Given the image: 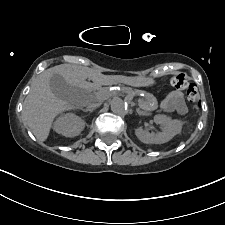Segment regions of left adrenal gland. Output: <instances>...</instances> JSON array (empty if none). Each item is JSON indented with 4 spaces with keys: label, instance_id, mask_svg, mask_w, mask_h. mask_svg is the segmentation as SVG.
Masks as SVG:
<instances>
[{
    "label": "left adrenal gland",
    "instance_id": "1",
    "mask_svg": "<svg viewBox=\"0 0 225 225\" xmlns=\"http://www.w3.org/2000/svg\"><path fill=\"white\" fill-rule=\"evenodd\" d=\"M139 116L145 115L139 108L136 110Z\"/></svg>",
    "mask_w": 225,
    "mask_h": 225
}]
</instances>
